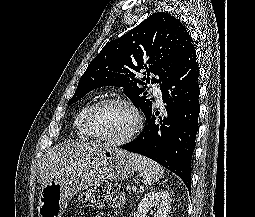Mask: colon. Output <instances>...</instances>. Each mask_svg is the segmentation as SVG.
Segmentation results:
<instances>
[{
	"instance_id": "5ec220e1",
	"label": "colon",
	"mask_w": 255,
	"mask_h": 217,
	"mask_svg": "<svg viewBox=\"0 0 255 217\" xmlns=\"http://www.w3.org/2000/svg\"><path fill=\"white\" fill-rule=\"evenodd\" d=\"M80 200L82 202L108 204L111 207L117 208L124 204L125 195L120 186L101 181L84 191L80 195Z\"/></svg>"
}]
</instances>
